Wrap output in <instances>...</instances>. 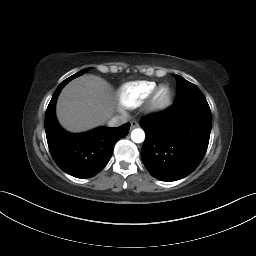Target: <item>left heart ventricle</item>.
Here are the masks:
<instances>
[{
	"mask_svg": "<svg viewBox=\"0 0 256 256\" xmlns=\"http://www.w3.org/2000/svg\"><path fill=\"white\" fill-rule=\"evenodd\" d=\"M165 93H166V91H164V92L161 94V96L163 97V96L165 95Z\"/></svg>",
	"mask_w": 256,
	"mask_h": 256,
	"instance_id": "1",
	"label": "left heart ventricle"
}]
</instances>
